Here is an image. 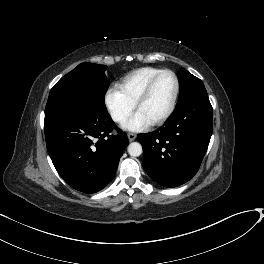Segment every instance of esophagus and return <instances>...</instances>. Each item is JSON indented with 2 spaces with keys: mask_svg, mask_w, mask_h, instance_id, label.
<instances>
[{
  "mask_svg": "<svg viewBox=\"0 0 264 264\" xmlns=\"http://www.w3.org/2000/svg\"><path fill=\"white\" fill-rule=\"evenodd\" d=\"M137 135L135 133H128V139L129 141H134L136 139Z\"/></svg>",
  "mask_w": 264,
  "mask_h": 264,
  "instance_id": "34e87169",
  "label": "esophagus"
}]
</instances>
